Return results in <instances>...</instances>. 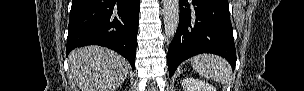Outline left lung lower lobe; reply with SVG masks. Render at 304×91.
<instances>
[{
    "label": "left lung lower lobe",
    "instance_id": "0a47b994",
    "mask_svg": "<svg viewBox=\"0 0 304 91\" xmlns=\"http://www.w3.org/2000/svg\"><path fill=\"white\" fill-rule=\"evenodd\" d=\"M199 53L224 57L235 68L236 50L228 0H181L179 25L168 49L169 76Z\"/></svg>",
    "mask_w": 304,
    "mask_h": 91
}]
</instances>
